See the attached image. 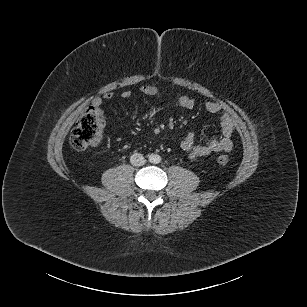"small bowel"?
I'll list each match as a JSON object with an SVG mask.
<instances>
[{
	"label": "small bowel",
	"instance_id": "1",
	"mask_svg": "<svg viewBox=\"0 0 307 307\" xmlns=\"http://www.w3.org/2000/svg\"><path fill=\"white\" fill-rule=\"evenodd\" d=\"M141 93L147 96H163V91L155 85L147 84L140 88ZM131 96L130 91H123L121 93L122 98H129ZM113 98L112 92H107L103 97H98L93 100L92 105L98 110L101 118L103 117V103L104 101L111 100ZM179 105L191 110L195 108L196 101L192 97L182 95L178 99ZM204 108L211 114L218 115L220 125V135L211 138L206 144L197 142L196 135L194 133L187 134L181 141V148L185 151L189 159L194 160L198 157L208 156L212 153L229 152L233 148V142L231 136L234 133L235 126L232 119L222 112L221 106L213 101H207L204 103Z\"/></svg>",
	"mask_w": 307,
	"mask_h": 307
}]
</instances>
